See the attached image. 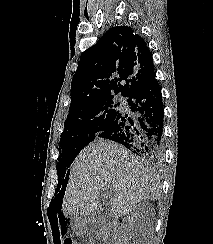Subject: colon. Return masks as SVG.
<instances>
[{
    "label": "colon",
    "mask_w": 213,
    "mask_h": 244,
    "mask_svg": "<svg viewBox=\"0 0 213 244\" xmlns=\"http://www.w3.org/2000/svg\"><path fill=\"white\" fill-rule=\"evenodd\" d=\"M63 244H77L74 239L67 238L63 241Z\"/></svg>",
    "instance_id": "colon-1"
}]
</instances>
